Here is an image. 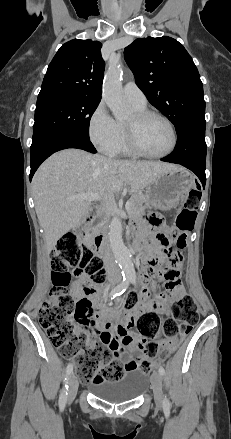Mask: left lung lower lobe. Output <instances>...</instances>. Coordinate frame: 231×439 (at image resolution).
<instances>
[{"label":"left lung lower lobe","instance_id":"obj_1","mask_svg":"<svg viewBox=\"0 0 231 439\" xmlns=\"http://www.w3.org/2000/svg\"><path fill=\"white\" fill-rule=\"evenodd\" d=\"M206 122H194L186 125L177 135V144L174 151L161 159L183 165L194 172L205 187V163L207 146L205 143Z\"/></svg>","mask_w":231,"mask_h":439}]
</instances>
